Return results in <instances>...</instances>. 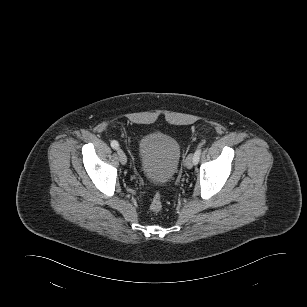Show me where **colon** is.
Masks as SVG:
<instances>
[{
	"label": "colon",
	"mask_w": 307,
	"mask_h": 307,
	"mask_svg": "<svg viewBox=\"0 0 307 307\" xmlns=\"http://www.w3.org/2000/svg\"><path fill=\"white\" fill-rule=\"evenodd\" d=\"M162 207H163V202H162V197L160 195V193H155L152 200H151V203H150V209L153 211V212H159L162 210Z\"/></svg>",
	"instance_id": "obj_1"
}]
</instances>
